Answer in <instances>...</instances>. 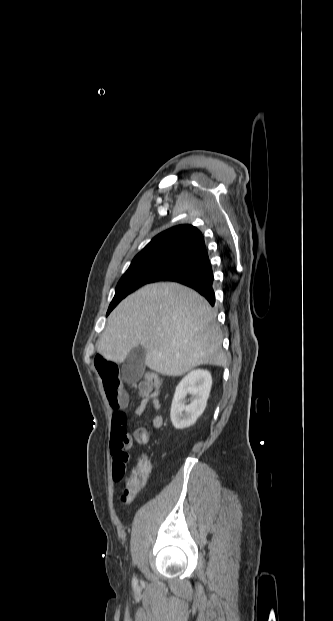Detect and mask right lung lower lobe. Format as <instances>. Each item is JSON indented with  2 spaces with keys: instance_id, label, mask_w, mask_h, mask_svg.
<instances>
[{
  "instance_id": "98d812e1",
  "label": "right lung lower lobe",
  "mask_w": 333,
  "mask_h": 621,
  "mask_svg": "<svg viewBox=\"0 0 333 621\" xmlns=\"http://www.w3.org/2000/svg\"><path fill=\"white\" fill-rule=\"evenodd\" d=\"M161 281L186 285L204 296L212 306L215 303L212 288L213 272L205 247L185 259L176 270L164 276Z\"/></svg>"
}]
</instances>
